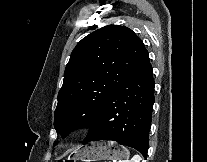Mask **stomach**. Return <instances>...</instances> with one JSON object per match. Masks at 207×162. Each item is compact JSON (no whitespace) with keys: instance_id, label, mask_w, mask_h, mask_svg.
Instances as JSON below:
<instances>
[{"instance_id":"0dacf381","label":"stomach","mask_w":207,"mask_h":162,"mask_svg":"<svg viewBox=\"0 0 207 162\" xmlns=\"http://www.w3.org/2000/svg\"><path fill=\"white\" fill-rule=\"evenodd\" d=\"M129 157L126 147L114 142H96L81 147L73 152L68 160H81L83 162H94L101 160H123Z\"/></svg>"}]
</instances>
